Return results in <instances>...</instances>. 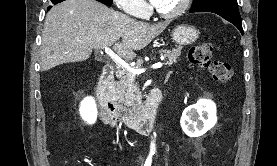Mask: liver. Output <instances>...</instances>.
I'll use <instances>...</instances> for the list:
<instances>
[{"label": "liver", "instance_id": "obj_1", "mask_svg": "<svg viewBox=\"0 0 277 166\" xmlns=\"http://www.w3.org/2000/svg\"><path fill=\"white\" fill-rule=\"evenodd\" d=\"M169 22L136 21L96 0H66L46 15L40 50L41 71L87 60L93 49L113 46L125 60L160 35ZM121 39V41H119Z\"/></svg>", "mask_w": 277, "mask_h": 166}]
</instances>
